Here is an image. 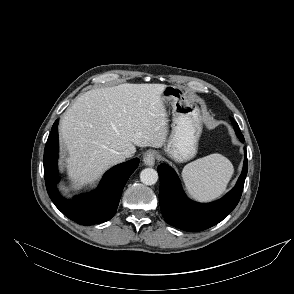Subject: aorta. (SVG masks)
<instances>
[{
    "label": "aorta",
    "mask_w": 294,
    "mask_h": 294,
    "mask_svg": "<svg viewBox=\"0 0 294 294\" xmlns=\"http://www.w3.org/2000/svg\"><path fill=\"white\" fill-rule=\"evenodd\" d=\"M140 180L145 185H154L158 180V173L153 168H145L140 173Z\"/></svg>",
    "instance_id": "aorta-1"
}]
</instances>
